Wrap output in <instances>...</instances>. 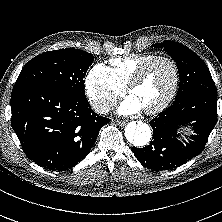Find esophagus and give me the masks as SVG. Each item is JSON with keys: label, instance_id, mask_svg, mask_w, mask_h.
Returning <instances> with one entry per match:
<instances>
[{"label": "esophagus", "instance_id": "esophagus-1", "mask_svg": "<svg viewBox=\"0 0 222 222\" xmlns=\"http://www.w3.org/2000/svg\"><path fill=\"white\" fill-rule=\"evenodd\" d=\"M116 123L119 125V126H124L126 124L125 121H119L117 120Z\"/></svg>", "mask_w": 222, "mask_h": 222}]
</instances>
